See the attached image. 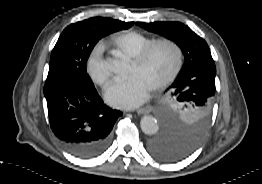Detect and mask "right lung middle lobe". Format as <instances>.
Segmentation results:
<instances>
[{"mask_svg": "<svg viewBox=\"0 0 262 184\" xmlns=\"http://www.w3.org/2000/svg\"><path fill=\"white\" fill-rule=\"evenodd\" d=\"M133 24L134 22L93 17L67 26L52 51L45 84L75 81L94 86L87 74L86 62L95 44L102 37L127 29Z\"/></svg>", "mask_w": 262, "mask_h": 184, "instance_id": "dd1d6c3e", "label": "right lung middle lobe"}]
</instances>
